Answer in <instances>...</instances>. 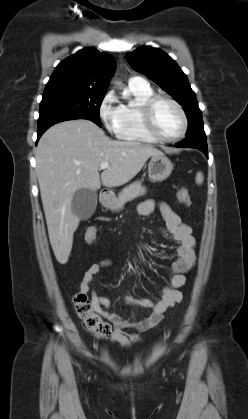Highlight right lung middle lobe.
<instances>
[{
  "instance_id": "dd1d6c3e",
  "label": "right lung middle lobe",
  "mask_w": 248,
  "mask_h": 419,
  "mask_svg": "<svg viewBox=\"0 0 248 419\" xmlns=\"http://www.w3.org/2000/svg\"><path fill=\"white\" fill-rule=\"evenodd\" d=\"M105 92L80 88H45L40 103L39 119L56 114L73 113L85 116L101 126L99 109Z\"/></svg>"
}]
</instances>
